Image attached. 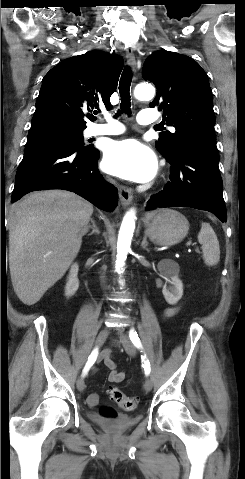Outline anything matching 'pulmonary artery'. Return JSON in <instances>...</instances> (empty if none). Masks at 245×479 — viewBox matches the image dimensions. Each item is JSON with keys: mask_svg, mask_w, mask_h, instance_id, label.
<instances>
[{"mask_svg": "<svg viewBox=\"0 0 245 479\" xmlns=\"http://www.w3.org/2000/svg\"><path fill=\"white\" fill-rule=\"evenodd\" d=\"M105 119L106 123L92 125L89 129V135H117L124 131V126L111 116L106 115ZM137 121L141 125H153L158 122V117L155 110L143 109L139 112Z\"/></svg>", "mask_w": 245, "mask_h": 479, "instance_id": "pulmonary-artery-1", "label": "pulmonary artery"}]
</instances>
